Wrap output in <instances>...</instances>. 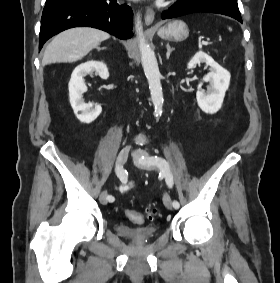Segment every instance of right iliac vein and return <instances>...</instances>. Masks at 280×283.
Instances as JSON below:
<instances>
[{
    "instance_id": "obj_1",
    "label": "right iliac vein",
    "mask_w": 280,
    "mask_h": 283,
    "mask_svg": "<svg viewBox=\"0 0 280 283\" xmlns=\"http://www.w3.org/2000/svg\"><path fill=\"white\" fill-rule=\"evenodd\" d=\"M130 152V148L129 147H124L120 150L118 157H117V162L119 164H125V162L128 159V155ZM107 197H108V192L107 191H103L101 192L100 196H99V201L101 204L106 205L107 204Z\"/></svg>"
}]
</instances>
